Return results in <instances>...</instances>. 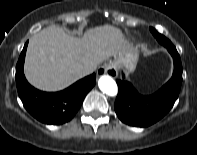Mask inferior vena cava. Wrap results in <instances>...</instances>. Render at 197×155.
<instances>
[{"instance_id":"obj_1","label":"inferior vena cava","mask_w":197,"mask_h":155,"mask_svg":"<svg viewBox=\"0 0 197 155\" xmlns=\"http://www.w3.org/2000/svg\"><path fill=\"white\" fill-rule=\"evenodd\" d=\"M94 70H95V68L92 67V66H84V67L82 68V72H83L84 75L90 74V73L93 72Z\"/></svg>"}]
</instances>
